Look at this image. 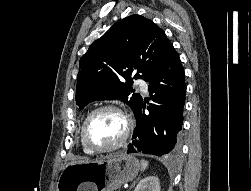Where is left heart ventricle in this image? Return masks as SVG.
Segmentation results:
<instances>
[{"mask_svg":"<svg viewBox=\"0 0 251 191\" xmlns=\"http://www.w3.org/2000/svg\"><path fill=\"white\" fill-rule=\"evenodd\" d=\"M124 130L120 116L113 111H101L94 115L87 127V139L91 146L104 149L119 142Z\"/></svg>","mask_w":251,"mask_h":191,"instance_id":"b2bd125f","label":"left heart ventricle"}]
</instances>
